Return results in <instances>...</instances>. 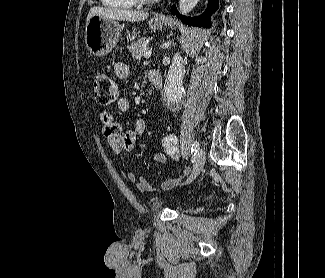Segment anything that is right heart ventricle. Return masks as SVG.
<instances>
[{
  "instance_id": "obj_1",
  "label": "right heart ventricle",
  "mask_w": 325,
  "mask_h": 278,
  "mask_svg": "<svg viewBox=\"0 0 325 278\" xmlns=\"http://www.w3.org/2000/svg\"><path fill=\"white\" fill-rule=\"evenodd\" d=\"M101 3L113 9H130L135 6L133 0H100Z\"/></svg>"
}]
</instances>
